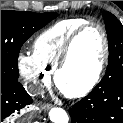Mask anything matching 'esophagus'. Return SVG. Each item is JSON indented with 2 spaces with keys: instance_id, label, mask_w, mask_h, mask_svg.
Segmentation results:
<instances>
[{
  "instance_id": "34e87169",
  "label": "esophagus",
  "mask_w": 123,
  "mask_h": 123,
  "mask_svg": "<svg viewBox=\"0 0 123 123\" xmlns=\"http://www.w3.org/2000/svg\"><path fill=\"white\" fill-rule=\"evenodd\" d=\"M51 108H52V105L49 104V103H45V104L41 105V109L44 110V111H47V110H49Z\"/></svg>"
}]
</instances>
